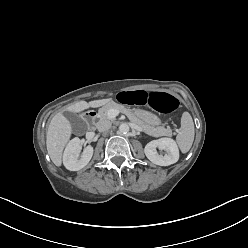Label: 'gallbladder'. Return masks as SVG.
I'll return each mask as SVG.
<instances>
[{
	"instance_id": "1",
	"label": "gallbladder",
	"mask_w": 248,
	"mask_h": 248,
	"mask_svg": "<svg viewBox=\"0 0 248 248\" xmlns=\"http://www.w3.org/2000/svg\"><path fill=\"white\" fill-rule=\"evenodd\" d=\"M66 117L71 121L73 129L76 132L82 131L85 129V127H86L85 122L81 118L76 116L75 114H73L71 112H67Z\"/></svg>"
}]
</instances>
